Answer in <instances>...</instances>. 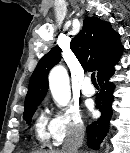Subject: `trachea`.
Returning <instances> with one entry per match:
<instances>
[{"instance_id": "obj_1", "label": "trachea", "mask_w": 130, "mask_h": 153, "mask_svg": "<svg viewBox=\"0 0 130 153\" xmlns=\"http://www.w3.org/2000/svg\"><path fill=\"white\" fill-rule=\"evenodd\" d=\"M91 81L94 85H97V81H96V78H95V73H92L91 74Z\"/></svg>"}]
</instances>
